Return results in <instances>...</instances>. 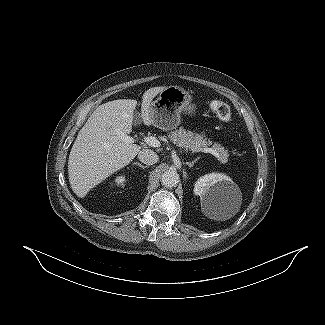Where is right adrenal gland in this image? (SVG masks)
Returning a JSON list of instances; mask_svg holds the SVG:
<instances>
[{"mask_svg": "<svg viewBox=\"0 0 325 325\" xmlns=\"http://www.w3.org/2000/svg\"><path fill=\"white\" fill-rule=\"evenodd\" d=\"M134 165H137V166H139V167H141V168H143V169L147 168V166H144V165H142V164L139 163V162H134Z\"/></svg>", "mask_w": 325, "mask_h": 325, "instance_id": "obj_1", "label": "right adrenal gland"}]
</instances>
